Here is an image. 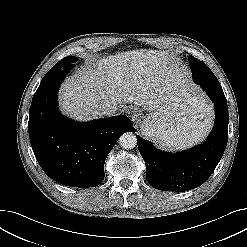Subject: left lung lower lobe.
<instances>
[{"instance_id": "left-lung-lower-lobe-1", "label": "left lung lower lobe", "mask_w": 247, "mask_h": 247, "mask_svg": "<svg viewBox=\"0 0 247 247\" xmlns=\"http://www.w3.org/2000/svg\"><path fill=\"white\" fill-rule=\"evenodd\" d=\"M193 80L215 104V125L208 138L196 147L176 154L156 149L137 137L139 152L146 163V179L159 190L184 192L202 185L219 163L228 140V107L219 81L203 62L192 69Z\"/></svg>"}]
</instances>
